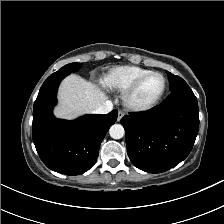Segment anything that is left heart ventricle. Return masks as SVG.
<instances>
[{"label":"left heart ventricle","mask_w":224,"mask_h":224,"mask_svg":"<svg viewBox=\"0 0 224 224\" xmlns=\"http://www.w3.org/2000/svg\"><path fill=\"white\" fill-rule=\"evenodd\" d=\"M163 86V77L157 74L152 75L141 85L134 99L139 103L150 102L162 91Z\"/></svg>","instance_id":"left-heart-ventricle-1"}]
</instances>
